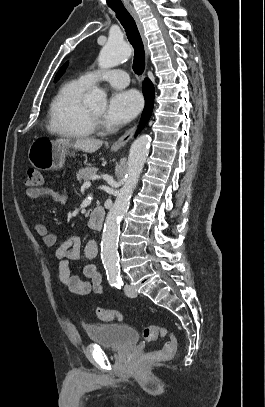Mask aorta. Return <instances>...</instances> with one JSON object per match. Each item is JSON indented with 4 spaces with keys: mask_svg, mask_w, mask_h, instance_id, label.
Wrapping results in <instances>:
<instances>
[{
    "mask_svg": "<svg viewBox=\"0 0 265 407\" xmlns=\"http://www.w3.org/2000/svg\"><path fill=\"white\" fill-rule=\"evenodd\" d=\"M131 52V47L123 39L110 38L100 51L99 67L102 69L114 67L127 60L131 56ZM84 102L91 106L105 105L106 94L101 89L95 88L85 96ZM150 143L151 138L148 135H142L132 143L124 185L105 220L101 241V259L108 276H116L119 273L117 242L120 219L129 208L131 195L149 154Z\"/></svg>",
    "mask_w": 265,
    "mask_h": 407,
    "instance_id": "obj_1",
    "label": "aorta"
}]
</instances>
